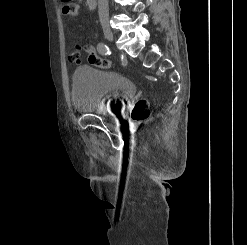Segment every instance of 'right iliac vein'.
<instances>
[{
    "label": "right iliac vein",
    "mask_w": 247,
    "mask_h": 245,
    "mask_svg": "<svg viewBox=\"0 0 247 245\" xmlns=\"http://www.w3.org/2000/svg\"><path fill=\"white\" fill-rule=\"evenodd\" d=\"M103 34H104V37H105L108 41H113L114 35H113V32H112V30L110 29V27L104 26V27H103Z\"/></svg>",
    "instance_id": "63e3f726"
}]
</instances>
